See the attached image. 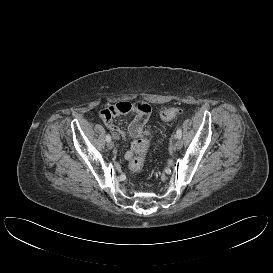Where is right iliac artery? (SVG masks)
Masks as SVG:
<instances>
[{"label":"right iliac artery","mask_w":273,"mask_h":273,"mask_svg":"<svg viewBox=\"0 0 273 273\" xmlns=\"http://www.w3.org/2000/svg\"><path fill=\"white\" fill-rule=\"evenodd\" d=\"M106 141H111V136L109 134L106 135Z\"/></svg>","instance_id":"obj_1"}]
</instances>
